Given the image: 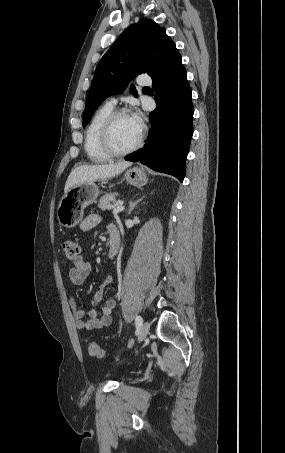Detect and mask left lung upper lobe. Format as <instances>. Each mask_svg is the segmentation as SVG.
<instances>
[{
	"label": "left lung upper lobe",
	"mask_w": 285,
	"mask_h": 453,
	"mask_svg": "<svg viewBox=\"0 0 285 453\" xmlns=\"http://www.w3.org/2000/svg\"><path fill=\"white\" fill-rule=\"evenodd\" d=\"M174 46L165 28L153 20L142 18L128 27L97 65L86 99L83 126L89 123L102 101L124 90L130 79L143 72L150 76L157 73ZM131 88L137 94L134 86Z\"/></svg>",
	"instance_id": "left-lung-upper-lobe-1"
}]
</instances>
